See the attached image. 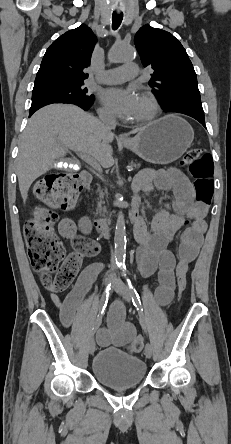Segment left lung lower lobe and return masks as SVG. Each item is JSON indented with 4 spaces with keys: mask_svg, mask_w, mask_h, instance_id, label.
Returning <instances> with one entry per match:
<instances>
[{
    "mask_svg": "<svg viewBox=\"0 0 231 444\" xmlns=\"http://www.w3.org/2000/svg\"><path fill=\"white\" fill-rule=\"evenodd\" d=\"M189 116H191L194 119L198 120L205 127L204 116H200V115H189Z\"/></svg>",
    "mask_w": 231,
    "mask_h": 444,
    "instance_id": "left-lung-lower-lobe-1",
    "label": "left lung lower lobe"
}]
</instances>
